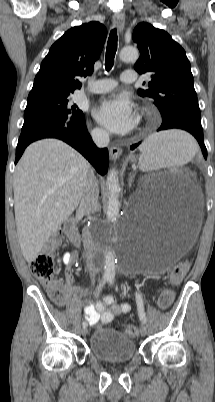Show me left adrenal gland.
I'll list each match as a JSON object with an SVG mask.
<instances>
[{"instance_id":"left-adrenal-gland-1","label":"left adrenal gland","mask_w":215,"mask_h":402,"mask_svg":"<svg viewBox=\"0 0 215 402\" xmlns=\"http://www.w3.org/2000/svg\"><path fill=\"white\" fill-rule=\"evenodd\" d=\"M133 179H134V175L129 174V187H131V185L133 183Z\"/></svg>"}]
</instances>
